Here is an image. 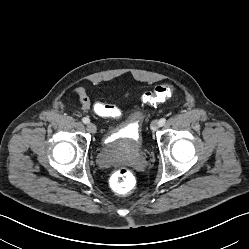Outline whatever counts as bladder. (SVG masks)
Returning a JSON list of instances; mask_svg holds the SVG:
<instances>
[{
    "instance_id": "bladder-1",
    "label": "bladder",
    "mask_w": 249,
    "mask_h": 249,
    "mask_svg": "<svg viewBox=\"0 0 249 249\" xmlns=\"http://www.w3.org/2000/svg\"><path fill=\"white\" fill-rule=\"evenodd\" d=\"M140 116V112H135V117L138 118ZM103 146L106 156L105 163H109L117 154L141 152L144 145L140 129L124 124L107 134Z\"/></svg>"
}]
</instances>
